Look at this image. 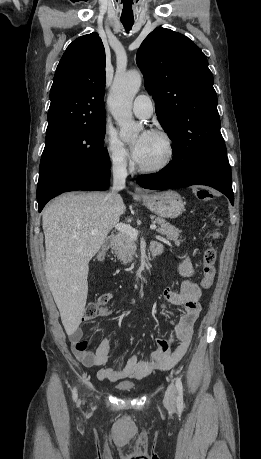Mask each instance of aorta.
I'll return each mask as SVG.
<instances>
[{"instance_id":"aorta-1","label":"aorta","mask_w":261,"mask_h":459,"mask_svg":"<svg viewBox=\"0 0 261 459\" xmlns=\"http://www.w3.org/2000/svg\"><path fill=\"white\" fill-rule=\"evenodd\" d=\"M141 75L138 71L118 74L108 97V105L115 121L120 127V137L129 141L143 129L141 123H136L132 116V103L141 86Z\"/></svg>"}]
</instances>
